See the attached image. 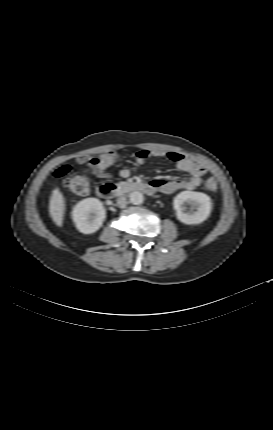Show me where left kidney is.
Returning <instances> with one entry per match:
<instances>
[{"mask_svg":"<svg viewBox=\"0 0 273 430\" xmlns=\"http://www.w3.org/2000/svg\"><path fill=\"white\" fill-rule=\"evenodd\" d=\"M186 205H191L190 212H185ZM177 219L188 225L200 224L205 221L211 212V198L202 192L183 191L179 193L173 201ZM196 209V211H193Z\"/></svg>","mask_w":273,"mask_h":430,"instance_id":"1","label":"left kidney"}]
</instances>
